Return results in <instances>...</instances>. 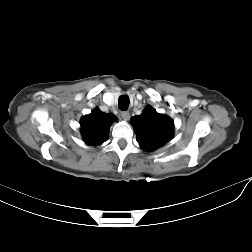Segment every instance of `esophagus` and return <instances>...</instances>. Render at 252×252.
Masks as SVG:
<instances>
[{"instance_id": "esophagus-1", "label": "esophagus", "mask_w": 252, "mask_h": 252, "mask_svg": "<svg viewBox=\"0 0 252 252\" xmlns=\"http://www.w3.org/2000/svg\"><path fill=\"white\" fill-rule=\"evenodd\" d=\"M120 115H121V118H122L123 120H128L129 117H130V114H129L128 111H122Z\"/></svg>"}]
</instances>
